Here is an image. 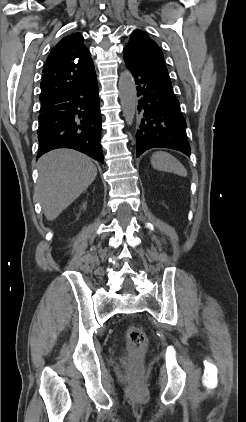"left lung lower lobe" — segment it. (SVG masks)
I'll return each instance as SVG.
<instances>
[{
    "label": "left lung lower lobe",
    "instance_id": "left-lung-lower-lobe-1",
    "mask_svg": "<svg viewBox=\"0 0 246 422\" xmlns=\"http://www.w3.org/2000/svg\"><path fill=\"white\" fill-rule=\"evenodd\" d=\"M127 68L137 84L139 121L136 133V152L139 157L151 148H171L190 155L186 135V121L172 85L144 67L136 59L124 54Z\"/></svg>",
    "mask_w": 246,
    "mask_h": 422
}]
</instances>
